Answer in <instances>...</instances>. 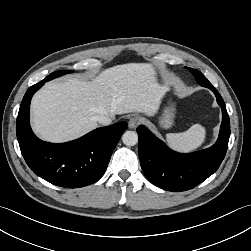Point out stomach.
Segmentation results:
<instances>
[{
	"label": "stomach",
	"mask_w": 251,
	"mask_h": 251,
	"mask_svg": "<svg viewBox=\"0 0 251 251\" xmlns=\"http://www.w3.org/2000/svg\"><path fill=\"white\" fill-rule=\"evenodd\" d=\"M175 117V107L171 104L164 110L163 116L160 119L161 127L168 129L173 125Z\"/></svg>",
	"instance_id": "0dacf381"
}]
</instances>
